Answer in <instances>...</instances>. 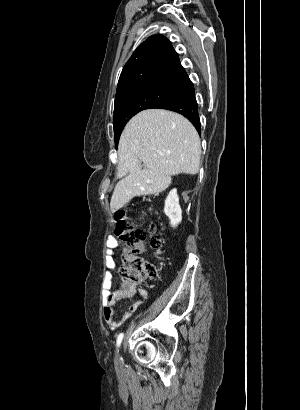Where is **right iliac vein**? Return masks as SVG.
I'll use <instances>...</instances> for the list:
<instances>
[{
	"mask_svg": "<svg viewBox=\"0 0 300 410\" xmlns=\"http://www.w3.org/2000/svg\"><path fill=\"white\" fill-rule=\"evenodd\" d=\"M119 355H116V363H118Z\"/></svg>",
	"mask_w": 300,
	"mask_h": 410,
	"instance_id": "right-iliac-vein-1",
	"label": "right iliac vein"
}]
</instances>
